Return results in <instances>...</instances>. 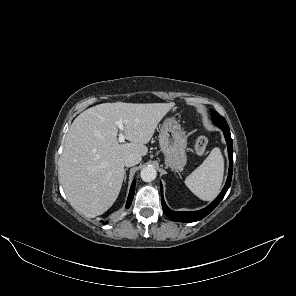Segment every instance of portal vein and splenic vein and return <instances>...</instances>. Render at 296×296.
Listing matches in <instances>:
<instances>
[{"label": "portal vein and splenic vein", "instance_id": "18ae733b", "mask_svg": "<svg viewBox=\"0 0 296 296\" xmlns=\"http://www.w3.org/2000/svg\"><path fill=\"white\" fill-rule=\"evenodd\" d=\"M115 124L117 125V127L119 128L120 130V133H119V142L122 143L125 141V137H124V134H123V130H124V124L123 122L120 120V121H116Z\"/></svg>", "mask_w": 296, "mask_h": 296}]
</instances>
